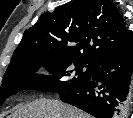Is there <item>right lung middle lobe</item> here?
<instances>
[{"mask_svg": "<svg viewBox=\"0 0 133 118\" xmlns=\"http://www.w3.org/2000/svg\"><path fill=\"white\" fill-rule=\"evenodd\" d=\"M42 68L51 75H39ZM91 67L80 62L44 59L19 68L7 69L0 88V104L22 90L62 93L90 79Z\"/></svg>", "mask_w": 133, "mask_h": 118, "instance_id": "dd1d6c3e", "label": "right lung middle lobe"}]
</instances>
